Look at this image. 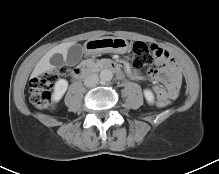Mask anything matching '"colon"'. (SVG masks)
I'll use <instances>...</instances> for the list:
<instances>
[{"mask_svg": "<svg viewBox=\"0 0 219 174\" xmlns=\"http://www.w3.org/2000/svg\"><path fill=\"white\" fill-rule=\"evenodd\" d=\"M129 60L135 68H142L151 65L155 60V55L152 48L145 43L136 42L132 46ZM66 73L67 68L60 67L33 77L29 82L31 103L38 109L53 108L52 87ZM156 104L160 108H166L169 105V101L164 98H157Z\"/></svg>", "mask_w": 219, "mask_h": 174, "instance_id": "1", "label": "colon"}]
</instances>
